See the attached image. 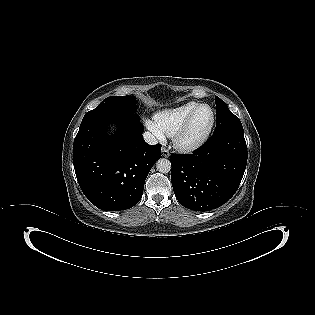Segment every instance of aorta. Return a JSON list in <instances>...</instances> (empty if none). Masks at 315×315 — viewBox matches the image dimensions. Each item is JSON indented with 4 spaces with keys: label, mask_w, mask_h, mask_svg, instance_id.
Wrapping results in <instances>:
<instances>
[{
    "label": "aorta",
    "mask_w": 315,
    "mask_h": 315,
    "mask_svg": "<svg viewBox=\"0 0 315 315\" xmlns=\"http://www.w3.org/2000/svg\"><path fill=\"white\" fill-rule=\"evenodd\" d=\"M156 168L161 173H168L171 171V163L168 159L161 158L157 161Z\"/></svg>",
    "instance_id": "762f6f07"
}]
</instances>
